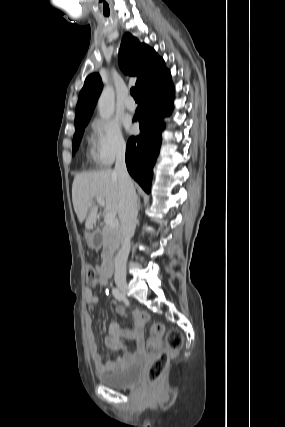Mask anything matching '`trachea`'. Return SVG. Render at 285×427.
Wrapping results in <instances>:
<instances>
[{"label":"trachea","instance_id":"trachea-1","mask_svg":"<svg viewBox=\"0 0 285 427\" xmlns=\"http://www.w3.org/2000/svg\"><path fill=\"white\" fill-rule=\"evenodd\" d=\"M130 93H131V95L133 96V98L135 100H139L140 99L139 93H138V89L136 87H132L131 90H130Z\"/></svg>","mask_w":285,"mask_h":427}]
</instances>
